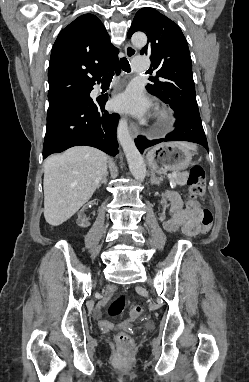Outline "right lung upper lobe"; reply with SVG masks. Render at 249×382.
<instances>
[{"mask_svg": "<svg viewBox=\"0 0 249 382\" xmlns=\"http://www.w3.org/2000/svg\"><path fill=\"white\" fill-rule=\"evenodd\" d=\"M102 22L84 14L58 35L48 69L49 103L89 89L118 60Z\"/></svg>", "mask_w": 249, "mask_h": 382, "instance_id": "cb5924a9", "label": "right lung upper lobe"}]
</instances>
